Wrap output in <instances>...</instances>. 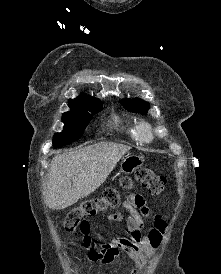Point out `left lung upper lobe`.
<instances>
[{"instance_id": "left-lung-upper-lobe-1", "label": "left lung upper lobe", "mask_w": 221, "mask_h": 274, "mask_svg": "<svg viewBox=\"0 0 221 274\" xmlns=\"http://www.w3.org/2000/svg\"><path fill=\"white\" fill-rule=\"evenodd\" d=\"M120 103L129 111H133L136 113L145 114L147 113L150 104L148 102H144L141 99L133 98V99H123Z\"/></svg>"}]
</instances>
